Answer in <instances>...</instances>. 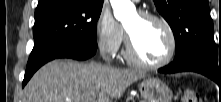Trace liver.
Masks as SVG:
<instances>
[{
	"mask_svg": "<svg viewBox=\"0 0 221 102\" xmlns=\"http://www.w3.org/2000/svg\"><path fill=\"white\" fill-rule=\"evenodd\" d=\"M145 76L142 71L98 63L54 60L33 75L23 102H114Z\"/></svg>",
	"mask_w": 221,
	"mask_h": 102,
	"instance_id": "1",
	"label": "liver"
}]
</instances>
